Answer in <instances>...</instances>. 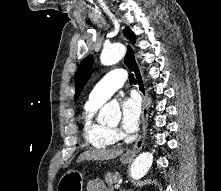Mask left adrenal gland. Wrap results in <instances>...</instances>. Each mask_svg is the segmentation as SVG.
Segmentation results:
<instances>
[{
	"label": "left adrenal gland",
	"mask_w": 221,
	"mask_h": 191,
	"mask_svg": "<svg viewBox=\"0 0 221 191\" xmlns=\"http://www.w3.org/2000/svg\"><path fill=\"white\" fill-rule=\"evenodd\" d=\"M120 191H125L124 189H121ZM127 191H131V190H127Z\"/></svg>",
	"instance_id": "a2214340"
}]
</instances>
